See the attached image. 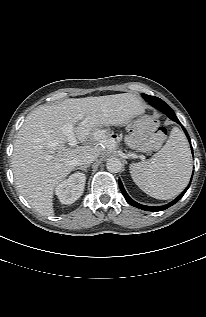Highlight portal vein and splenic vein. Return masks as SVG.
Segmentation results:
<instances>
[{
	"mask_svg": "<svg viewBox=\"0 0 206 317\" xmlns=\"http://www.w3.org/2000/svg\"><path fill=\"white\" fill-rule=\"evenodd\" d=\"M63 134L67 137V142L71 147L77 144V139L74 134L73 124H67L62 128ZM136 156V155H135ZM134 156V157H135Z\"/></svg>",
	"mask_w": 206,
	"mask_h": 317,
	"instance_id": "portal-vein-and-splenic-vein-1",
	"label": "portal vein and splenic vein"
}]
</instances>
